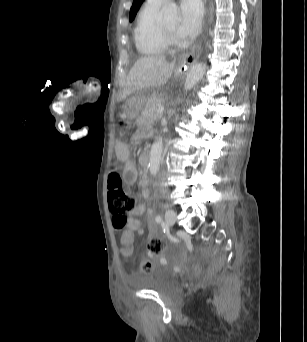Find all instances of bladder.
Returning a JSON list of instances; mask_svg holds the SVG:
<instances>
[{
    "label": "bladder",
    "instance_id": "bladder-1",
    "mask_svg": "<svg viewBox=\"0 0 307 342\" xmlns=\"http://www.w3.org/2000/svg\"><path fill=\"white\" fill-rule=\"evenodd\" d=\"M143 287L159 294H168L175 289L176 282L171 275L162 269H156L145 278Z\"/></svg>",
    "mask_w": 307,
    "mask_h": 342
}]
</instances>
